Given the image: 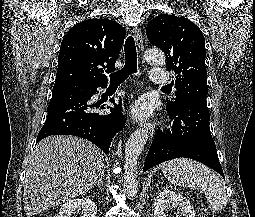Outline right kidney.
I'll use <instances>...</instances> for the list:
<instances>
[{
  "label": "right kidney",
  "instance_id": "ca27d5eb",
  "mask_svg": "<svg viewBox=\"0 0 255 217\" xmlns=\"http://www.w3.org/2000/svg\"><path fill=\"white\" fill-rule=\"evenodd\" d=\"M76 211H82L81 217H97V206L89 197L68 200L55 217H70Z\"/></svg>",
  "mask_w": 255,
  "mask_h": 217
}]
</instances>
